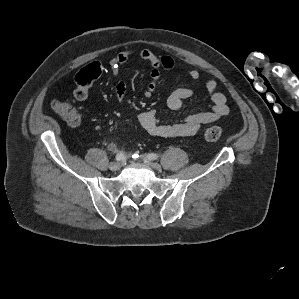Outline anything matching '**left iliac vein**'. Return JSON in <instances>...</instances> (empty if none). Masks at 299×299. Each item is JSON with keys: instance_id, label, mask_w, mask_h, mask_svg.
I'll return each mask as SVG.
<instances>
[{"instance_id": "left-iliac-vein-1", "label": "left iliac vein", "mask_w": 299, "mask_h": 299, "mask_svg": "<svg viewBox=\"0 0 299 299\" xmlns=\"http://www.w3.org/2000/svg\"><path fill=\"white\" fill-rule=\"evenodd\" d=\"M144 163L151 166L153 169L155 170H160L161 169V165L157 162H152L150 159L148 158H144Z\"/></svg>"}]
</instances>
